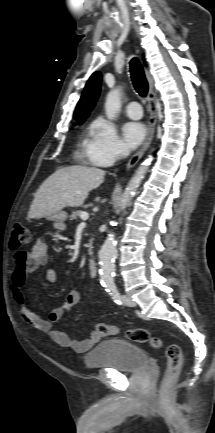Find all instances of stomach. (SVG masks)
I'll use <instances>...</instances> for the list:
<instances>
[{"label": "stomach", "instance_id": "stomach-1", "mask_svg": "<svg viewBox=\"0 0 215 433\" xmlns=\"http://www.w3.org/2000/svg\"><path fill=\"white\" fill-rule=\"evenodd\" d=\"M66 218H67V214L64 211H59L49 217V219L57 223H63L66 220Z\"/></svg>", "mask_w": 215, "mask_h": 433}]
</instances>
